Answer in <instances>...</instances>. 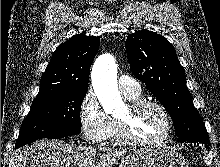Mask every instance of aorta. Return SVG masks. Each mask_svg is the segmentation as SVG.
<instances>
[{
  "instance_id": "obj_1",
  "label": "aorta",
  "mask_w": 220,
  "mask_h": 167,
  "mask_svg": "<svg viewBox=\"0 0 220 167\" xmlns=\"http://www.w3.org/2000/svg\"><path fill=\"white\" fill-rule=\"evenodd\" d=\"M92 85L107 114L125 106L117 85V64L110 54L100 56L92 68Z\"/></svg>"
}]
</instances>
